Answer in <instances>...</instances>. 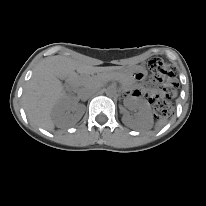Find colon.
Instances as JSON below:
<instances>
[{
	"label": "colon",
	"mask_w": 206,
	"mask_h": 206,
	"mask_svg": "<svg viewBox=\"0 0 206 206\" xmlns=\"http://www.w3.org/2000/svg\"><path fill=\"white\" fill-rule=\"evenodd\" d=\"M149 72L151 78L164 87L163 94L157 96L154 101V110L159 119L168 117L172 110L171 98L176 89V71L175 68L162 60L156 59L149 62Z\"/></svg>",
	"instance_id": "1"
}]
</instances>
